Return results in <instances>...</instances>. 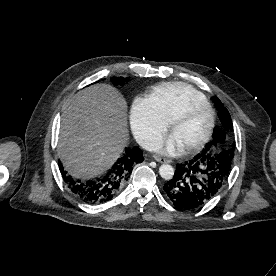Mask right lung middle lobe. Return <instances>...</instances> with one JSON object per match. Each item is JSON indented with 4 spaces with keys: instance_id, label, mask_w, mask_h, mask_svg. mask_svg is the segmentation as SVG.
<instances>
[{
    "instance_id": "1",
    "label": "right lung middle lobe",
    "mask_w": 276,
    "mask_h": 276,
    "mask_svg": "<svg viewBox=\"0 0 276 276\" xmlns=\"http://www.w3.org/2000/svg\"><path fill=\"white\" fill-rule=\"evenodd\" d=\"M112 82L123 84L125 82V79L124 78H114V79H112Z\"/></svg>"
}]
</instances>
